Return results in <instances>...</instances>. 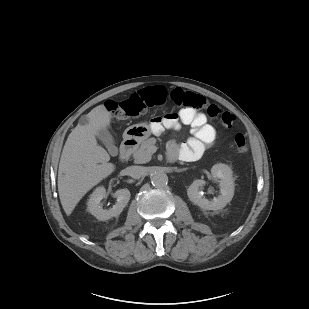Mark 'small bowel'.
<instances>
[{"label":"small bowel","instance_id":"obj_1","mask_svg":"<svg viewBox=\"0 0 309 309\" xmlns=\"http://www.w3.org/2000/svg\"><path fill=\"white\" fill-rule=\"evenodd\" d=\"M179 122L191 127L192 136L186 144L181 146L175 140L169 141L168 153L171 160L198 157L215 140L216 131L207 122L205 115L190 108L182 109L178 114H168L161 121H155L154 126L157 129H160L162 126L177 128Z\"/></svg>","mask_w":309,"mask_h":309}]
</instances>
